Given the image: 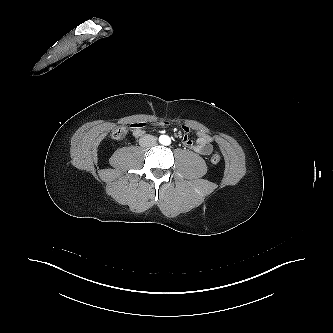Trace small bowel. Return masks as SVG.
Segmentation results:
<instances>
[{
    "label": "small bowel",
    "mask_w": 333,
    "mask_h": 333,
    "mask_svg": "<svg viewBox=\"0 0 333 333\" xmlns=\"http://www.w3.org/2000/svg\"><path fill=\"white\" fill-rule=\"evenodd\" d=\"M157 126H165L168 123L164 121L155 122ZM145 123L142 121L133 123L131 125L132 133L136 137H140L144 134ZM185 132H189V128L186 126H182ZM182 143L185 147L193 149L196 153L201 155H209L212 150L211 138L204 134L198 133L197 140L194 142L188 135H184L182 138Z\"/></svg>",
    "instance_id": "obj_1"
}]
</instances>
